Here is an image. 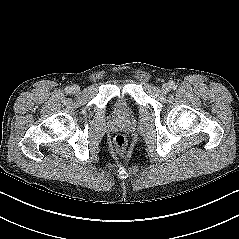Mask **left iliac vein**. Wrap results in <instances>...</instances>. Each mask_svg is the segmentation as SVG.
<instances>
[{"label": "left iliac vein", "instance_id": "1", "mask_svg": "<svg viewBox=\"0 0 239 239\" xmlns=\"http://www.w3.org/2000/svg\"><path fill=\"white\" fill-rule=\"evenodd\" d=\"M162 91H163V93H167L169 91V86L167 84H164L162 86Z\"/></svg>", "mask_w": 239, "mask_h": 239}]
</instances>
